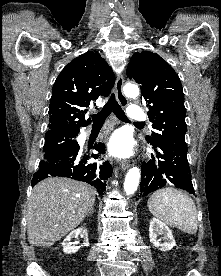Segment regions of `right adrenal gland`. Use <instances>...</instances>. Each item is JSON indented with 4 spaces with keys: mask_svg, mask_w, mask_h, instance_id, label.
<instances>
[{
    "mask_svg": "<svg viewBox=\"0 0 221 276\" xmlns=\"http://www.w3.org/2000/svg\"><path fill=\"white\" fill-rule=\"evenodd\" d=\"M93 213H94V207H92V208L90 209V211L88 212L87 215H90V214H93Z\"/></svg>",
    "mask_w": 221,
    "mask_h": 276,
    "instance_id": "1",
    "label": "right adrenal gland"
}]
</instances>
